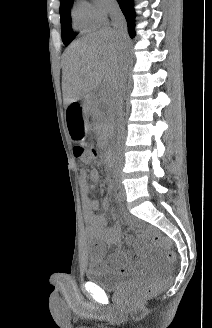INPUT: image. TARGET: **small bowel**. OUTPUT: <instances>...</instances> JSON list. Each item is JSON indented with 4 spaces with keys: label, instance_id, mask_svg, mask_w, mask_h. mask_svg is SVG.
I'll return each mask as SVG.
<instances>
[{
    "label": "small bowel",
    "instance_id": "1",
    "mask_svg": "<svg viewBox=\"0 0 212 328\" xmlns=\"http://www.w3.org/2000/svg\"><path fill=\"white\" fill-rule=\"evenodd\" d=\"M80 180L83 216L87 225L86 233L92 245V260L98 266L104 267L112 273H126L134 270L137 264L132 260L129 253L119 249L111 253H106L107 247L118 246L121 241L120 223L108 227L106 216L96 213L99 208V202L90 197L92 186L88 180L97 183L100 180L99 172L96 169L90 170L89 173H82L80 171ZM104 207L107 208V202L104 203ZM125 221L130 225H135L134 221L129 218H126ZM125 242L142 256H146L151 249L148 235L145 234L140 235L138 242H135L132 237H127Z\"/></svg>",
    "mask_w": 212,
    "mask_h": 328
}]
</instances>
